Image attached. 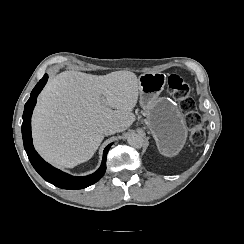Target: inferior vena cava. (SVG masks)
<instances>
[{
    "mask_svg": "<svg viewBox=\"0 0 244 244\" xmlns=\"http://www.w3.org/2000/svg\"><path fill=\"white\" fill-rule=\"evenodd\" d=\"M104 135H112L117 132V126L111 123H107L102 128Z\"/></svg>",
    "mask_w": 244,
    "mask_h": 244,
    "instance_id": "602c4592",
    "label": "inferior vena cava"
}]
</instances>
